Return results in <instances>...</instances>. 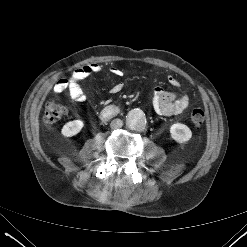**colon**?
Wrapping results in <instances>:
<instances>
[{
	"label": "colon",
	"mask_w": 247,
	"mask_h": 247,
	"mask_svg": "<svg viewBox=\"0 0 247 247\" xmlns=\"http://www.w3.org/2000/svg\"><path fill=\"white\" fill-rule=\"evenodd\" d=\"M66 114V109L54 100H47L44 107L43 120L46 125L53 126ZM206 113L201 108H195L190 113V122L196 129H200L205 122Z\"/></svg>",
	"instance_id": "colon-1"
}]
</instances>
